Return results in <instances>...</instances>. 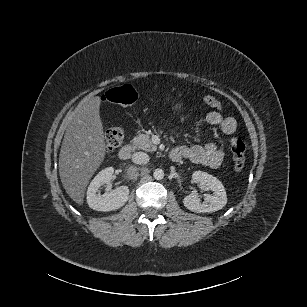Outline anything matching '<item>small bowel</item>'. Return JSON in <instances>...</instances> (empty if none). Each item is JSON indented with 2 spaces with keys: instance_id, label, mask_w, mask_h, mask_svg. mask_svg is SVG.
Here are the masks:
<instances>
[{
  "instance_id": "1",
  "label": "small bowel",
  "mask_w": 307,
  "mask_h": 307,
  "mask_svg": "<svg viewBox=\"0 0 307 307\" xmlns=\"http://www.w3.org/2000/svg\"><path fill=\"white\" fill-rule=\"evenodd\" d=\"M206 122L213 127H220L221 130L228 135L235 133L237 122L233 117H223L217 111H211L206 116ZM239 139L232 137L231 144ZM171 159L175 162L182 159L190 160L193 163L203 165L210 168H217L223 162L225 153L217 147L213 142H208L204 145L179 146L172 151Z\"/></svg>"
}]
</instances>
